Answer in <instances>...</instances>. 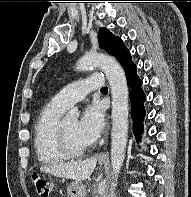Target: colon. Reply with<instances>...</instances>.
<instances>
[{
    "mask_svg": "<svg viewBox=\"0 0 191 197\" xmlns=\"http://www.w3.org/2000/svg\"><path fill=\"white\" fill-rule=\"evenodd\" d=\"M32 181L39 197H49L51 184L40 175H33Z\"/></svg>",
    "mask_w": 191,
    "mask_h": 197,
    "instance_id": "colon-1",
    "label": "colon"
}]
</instances>
